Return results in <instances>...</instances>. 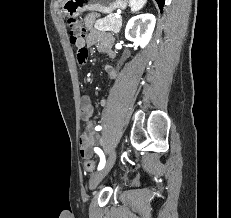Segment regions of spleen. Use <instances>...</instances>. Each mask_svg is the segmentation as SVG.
I'll return each mask as SVG.
<instances>
[{
  "label": "spleen",
  "instance_id": "spleen-1",
  "mask_svg": "<svg viewBox=\"0 0 231 218\" xmlns=\"http://www.w3.org/2000/svg\"><path fill=\"white\" fill-rule=\"evenodd\" d=\"M129 1L131 6V11L133 13L142 9L147 2V0H129Z\"/></svg>",
  "mask_w": 231,
  "mask_h": 218
}]
</instances>
